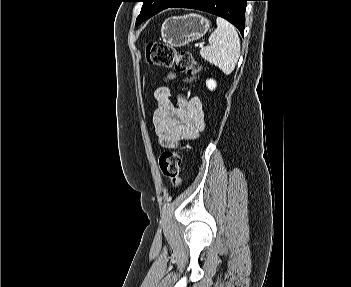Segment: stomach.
<instances>
[{"label":"stomach","instance_id":"stomach-1","mask_svg":"<svg viewBox=\"0 0 351 287\" xmlns=\"http://www.w3.org/2000/svg\"><path fill=\"white\" fill-rule=\"evenodd\" d=\"M210 29L205 17L190 13L166 19L161 27L163 41L173 47H181L202 38Z\"/></svg>","mask_w":351,"mask_h":287}]
</instances>
